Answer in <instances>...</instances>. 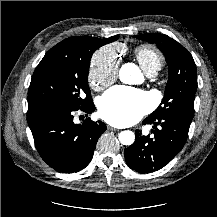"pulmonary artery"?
<instances>
[{
	"label": "pulmonary artery",
	"mask_w": 217,
	"mask_h": 217,
	"mask_svg": "<svg viewBox=\"0 0 217 217\" xmlns=\"http://www.w3.org/2000/svg\"><path fill=\"white\" fill-rule=\"evenodd\" d=\"M156 75V72H149L148 73V76H150V77H153V76H155Z\"/></svg>",
	"instance_id": "1"
}]
</instances>
